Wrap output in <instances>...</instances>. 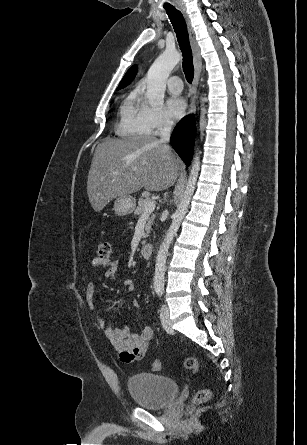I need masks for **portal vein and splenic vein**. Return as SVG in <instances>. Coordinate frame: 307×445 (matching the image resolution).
Wrapping results in <instances>:
<instances>
[{"label": "portal vein and splenic vein", "instance_id": "18ae733b", "mask_svg": "<svg viewBox=\"0 0 307 445\" xmlns=\"http://www.w3.org/2000/svg\"><path fill=\"white\" fill-rule=\"evenodd\" d=\"M133 170H136V168H133ZM112 174H120V172H118V170H116V172H112ZM155 208V200H150V202H148V204H145V210L142 214V216H144V214H149V212H152V210H154Z\"/></svg>", "mask_w": 307, "mask_h": 445}]
</instances>
